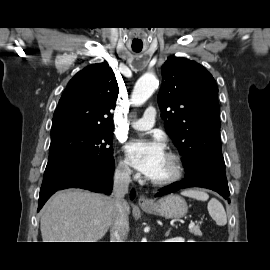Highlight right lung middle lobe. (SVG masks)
I'll use <instances>...</instances> for the list:
<instances>
[{
  "label": "right lung middle lobe",
  "instance_id": "dd1d6c3e",
  "mask_svg": "<svg viewBox=\"0 0 270 270\" xmlns=\"http://www.w3.org/2000/svg\"><path fill=\"white\" fill-rule=\"evenodd\" d=\"M113 129L82 125H61L51 129L47 166L72 157L89 156L101 168L114 165Z\"/></svg>",
  "mask_w": 270,
  "mask_h": 270
}]
</instances>
